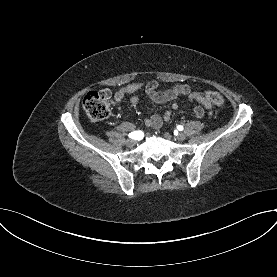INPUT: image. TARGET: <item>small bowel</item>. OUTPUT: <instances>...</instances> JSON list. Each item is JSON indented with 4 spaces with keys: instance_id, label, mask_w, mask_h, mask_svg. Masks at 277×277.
Segmentation results:
<instances>
[{
    "instance_id": "1",
    "label": "small bowel",
    "mask_w": 277,
    "mask_h": 277,
    "mask_svg": "<svg viewBox=\"0 0 277 277\" xmlns=\"http://www.w3.org/2000/svg\"><path fill=\"white\" fill-rule=\"evenodd\" d=\"M142 89L145 90L146 94L152 101L160 104L174 101L179 96H186L190 102L198 104L192 109V115L195 118L199 119L204 116V108L209 110V113L211 114V102L207 98L206 93L202 92L200 89H193L187 84H176L163 91H158V83L156 81L134 82L117 89L113 95V103L115 107L119 109L127 95L133 94ZM131 103L137 105L139 103V98L133 96L131 98ZM177 108L178 104L173 102L172 109L176 110ZM171 117V111H167L163 116L153 114L145 120V125L154 129H159L161 128L163 121H169ZM123 127L129 129L131 128V124L125 123L123 124Z\"/></svg>"
}]
</instances>
